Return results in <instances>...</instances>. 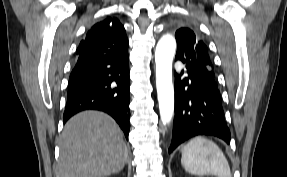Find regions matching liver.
I'll use <instances>...</instances> for the list:
<instances>
[{"mask_svg": "<svg viewBox=\"0 0 287 177\" xmlns=\"http://www.w3.org/2000/svg\"><path fill=\"white\" fill-rule=\"evenodd\" d=\"M128 150L116 122L107 114L73 116L60 137V177H105L120 172Z\"/></svg>", "mask_w": 287, "mask_h": 177, "instance_id": "6515ba94", "label": "liver"}]
</instances>
